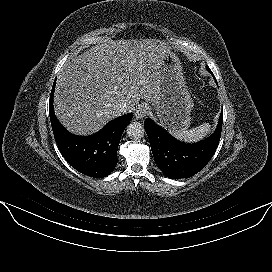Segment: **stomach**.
Returning a JSON list of instances; mask_svg holds the SVG:
<instances>
[{"label": "stomach", "mask_w": 272, "mask_h": 272, "mask_svg": "<svg viewBox=\"0 0 272 272\" xmlns=\"http://www.w3.org/2000/svg\"><path fill=\"white\" fill-rule=\"evenodd\" d=\"M159 72V92L150 102L149 110L168 130H186L190 125L193 100L186 87L179 58L168 52L161 61Z\"/></svg>", "instance_id": "0dacf381"}]
</instances>
